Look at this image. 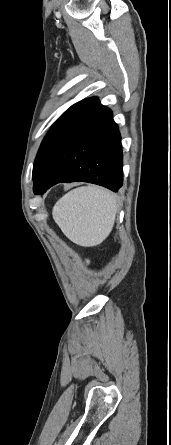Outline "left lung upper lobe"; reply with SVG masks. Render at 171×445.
<instances>
[{
    "label": "left lung upper lobe",
    "mask_w": 171,
    "mask_h": 445,
    "mask_svg": "<svg viewBox=\"0 0 171 445\" xmlns=\"http://www.w3.org/2000/svg\"><path fill=\"white\" fill-rule=\"evenodd\" d=\"M98 104V98L92 97L72 105L60 116L41 143L33 165V177L66 132Z\"/></svg>",
    "instance_id": "left-lung-upper-lobe-1"
}]
</instances>
